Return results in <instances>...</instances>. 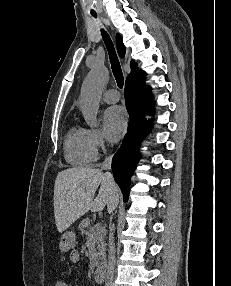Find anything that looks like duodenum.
Masks as SVG:
<instances>
[{
    "label": "duodenum",
    "mask_w": 231,
    "mask_h": 286,
    "mask_svg": "<svg viewBox=\"0 0 231 286\" xmlns=\"http://www.w3.org/2000/svg\"><path fill=\"white\" fill-rule=\"evenodd\" d=\"M94 278L97 282L101 283L105 278V269L103 265H99L94 272Z\"/></svg>",
    "instance_id": "obj_1"
}]
</instances>
